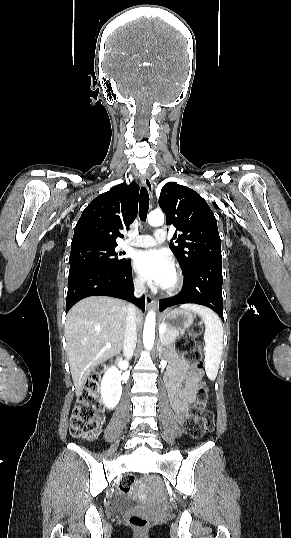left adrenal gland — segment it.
I'll list each match as a JSON object with an SVG mask.
<instances>
[{"mask_svg": "<svg viewBox=\"0 0 291 538\" xmlns=\"http://www.w3.org/2000/svg\"><path fill=\"white\" fill-rule=\"evenodd\" d=\"M157 351L159 353V357L161 358L162 357V351H163V344L160 343V340L157 343Z\"/></svg>", "mask_w": 291, "mask_h": 538, "instance_id": "1", "label": "left adrenal gland"}]
</instances>
